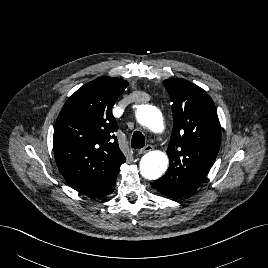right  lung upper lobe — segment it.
I'll use <instances>...</instances> for the list:
<instances>
[{"label":"right lung upper lobe","instance_id":"cb5924a9","mask_svg":"<svg viewBox=\"0 0 268 268\" xmlns=\"http://www.w3.org/2000/svg\"><path fill=\"white\" fill-rule=\"evenodd\" d=\"M128 86L100 77L78 89L63 106L54 128L53 149L59 171L78 192L92 198L110 194L126 160L119 149L111 109Z\"/></svg>","mask_w":268,"mask_h":268}]
</instances>
